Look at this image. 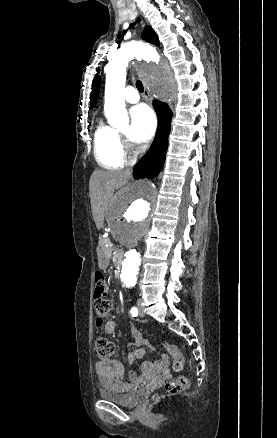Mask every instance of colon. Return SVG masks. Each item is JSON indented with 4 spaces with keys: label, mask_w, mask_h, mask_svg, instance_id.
I'll list each match as a JSON object with an SVG mask.
<instances>
[{
    "label": "colon",
    "mask_w": 277,
    "mask_h": 438,
    "mask_svg": "<svg viewBox=\"0 0 277 438\" xmlns=\"http://www.w3.org/2000/svg\"><path fill=\"white\" fill-rule=\"evenodd\" d=\"M95 293H94V308L99 318H104L108 314L111 308V302L107 299L108 296V286L106 283L105 275L98 271L95 273ZM95 348L100 360H106L115 351L116 345L113 340L104 335H97L94 339ZM168 351L174 358L173 367L176 371L182 369L184 364V355L181 351L173 348L167 347ZM189 386L188 377H179L173 380H167L166 389H154L152 394L149 396L151 402L149 406L154 408L156 406L155 401L160 398H176L177 392L186 389Z\"/></svg>",
    "instance_id": "obj_1"
}]
</instances>
